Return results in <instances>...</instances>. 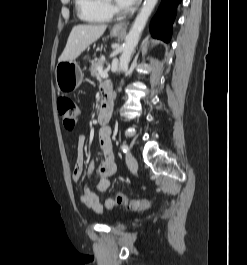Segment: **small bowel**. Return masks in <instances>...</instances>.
<instances>
[{
	"instance_id": "obj_1",
	"label": "small bowel",
	"mask_w": 247,
	"mask_h": 265,
	"mask_svg": "<svg viewBox=\"0 0 247 265\" xmlns=\"http://www.w3.org/2000/svg\"><path fill=\"white\" fill-rule=\"evenodd\" d=\"M105 87L107 86H104L103 89ZM98 136L102 151V158L97 167L99 181L95 184V190H93L91 188V179L96 170V162L91 161L87 166L88 179L80 196L82 204L87 208L93 209L96 213H100L103 210V206L100 202L97 192H106L111 187L112 178L117 171V166L114 161V153L112 150L111 130L108 127H101L99 129ZM85 144L86 136L80 135L78 137L77 144V157L72 172V178L74 181H78L83 172ZM117 205L118 204L114 199H108L105 201V207L107 209H113Z\"/></svg>"
}]
</instances>
